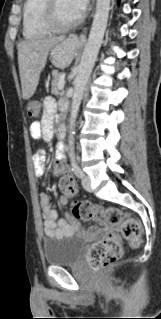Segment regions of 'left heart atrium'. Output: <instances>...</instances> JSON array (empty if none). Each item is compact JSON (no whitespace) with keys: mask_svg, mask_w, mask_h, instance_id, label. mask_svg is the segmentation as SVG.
Masks as SVG:
<instances>
[{"mask_svg":"<svg viewBox=\"0 0 161 319\" xmlns=\"http://www.w3.org/2000/svg\"><path fill=\"white\" fill-rule=\"evenodd\" d=\"M70 2L73 8L81 14L88 5L89 0H70Z\"/></svg>","mask_w":161,"mask_h":319,"instance_id":"left-heart-atrium-1","label":"left heart atrium"}]
</instances>
